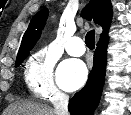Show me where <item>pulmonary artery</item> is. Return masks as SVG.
<instances>
[{"mask_svg":"<svg viewBox=\"0 0 131 115\" xmlns=\"http://www.w3.org/2000/svg\"><path fill=\"white\" fill-rule=\"evenodd\" d=\"M66 50L69 55L81 56L85 52V45L83 40L79 36L70 38L67 43Z\"/></svg>","mask_w":131,"mask_h":115,"instance_id":"e3ab8cb5","label":"pulmonary artery"}]
</instances>
